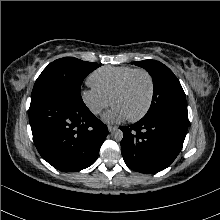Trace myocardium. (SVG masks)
Listing matches in <instances>:
<instances>
[{
  "label": "myocardium",
  "mask_w": 220,
  "mask_h": 220,
  "mask_svg": "<svg viewBox=\"0 0 220 220\" xmlns=\"http://www.w3.org/2000/svg\"><path fill=\"white\" fill-rule=\"evenodd\" d=\"M141 73L144 74L149 82V97H148V101L146 106L144 107V109L137 115L129 117V120L132 122H136L141 120L143 117L146 116V114L149 112L152 103H153V99H154V92H155V84H154V80L152 75L145 69L142 68H137L134 69L132 72H130L122 81L121 83L117 86V88L113 91L112 95H111V103L113 104V100L114 98L119 95L121 92L124 91V89L127 87V85L129 84V82L131 81V79L133 78L134 75Z\"/></svg>",
  "instance_id": "myocardium-1"
}]
</instances>
